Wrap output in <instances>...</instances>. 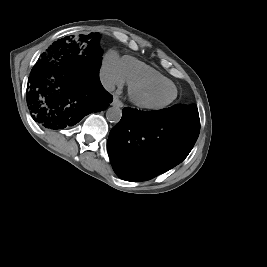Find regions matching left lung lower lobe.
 I'll return each instance as SVG.
<instances>
[{
	"label": "left lung lower lobe",
	"mask_w": 267,
	"mask_h": 267,
	"mask_svg": "<svg viewBox=\"0 0 267 267\" xmlns=\"http://www.w3.org/2000/svg\"><path fill=\"white\" fill-rule=\"evenodd\" d=\"M199 131L195 106L178 104L151 112L124 108L107 142L112 167L124 180H150L182 162Z\"/></svg>",
	"instance_id": "0a47b994"
}]
</instances>
